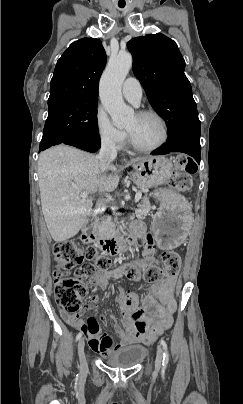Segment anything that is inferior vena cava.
I'll list each match as a JSON object with an SVG mask.
<instances>
[{"label":"inferior vena cava","instance_id":"inferior-vena-cava-1","mask_svg":"<svg viewBox=\"0 0 243 404\" xmlns=\"http://www.w3.org/2000/svg\"><path fill=\"white\" fill-rule=\"evenodd\" d=\"M100 164V174L101 180H106L107 176L105 172H107L108 168H110L113 160L117 158V150L116 146L108 136H102L101 138V150L97 156ZM102 208H105L102 200H98L96 210L101 214L103 212Z\"/></svg>","mask_w":243,"mask_h":404}]
</instances>
